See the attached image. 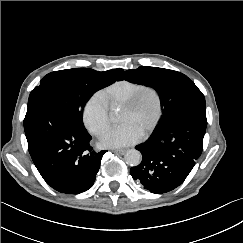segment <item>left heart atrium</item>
<instances>
[{
	"label": "left heart atrium",
	"instance_id": "1",
	"mask_svg": "<svg viewBox=\"0 0 243 243\" xmlns=\"http://www.w3.org/2000/svg\"><path fill=\"white\" fill-rule=\"evenodd\" d=\"M142 136L143 133L137 127L130 123H124L103 134L99 144L105 148H120L137 143Z\"/></svg>",
	"mask_w": 243,
	"mask_h": 243
}]
</instances>
